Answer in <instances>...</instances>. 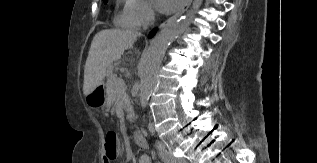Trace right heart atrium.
<instances>
[{
    "instance_id": "right-heart-atrium-1",
    "label": "right heart atrium",
    "mask_w": 317,
    "mask_h": 163,
    "mask_svg": "<svg viewBox=\"0 0 317 163\" xmlns=\"http://www.w3.org/2000/svg\"><path fill=\"white\" fill-rule=\"evenodd\" d=\"M130 13L134 23L138 26H146L155 18L154 10L148 0H133Z\"/></svg>"
}]
</instances>
